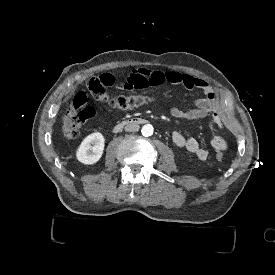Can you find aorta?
I'll return each mask as SVG.
<instances>
[{"mask_svg": "<svg viewBox=\"0 0 275 275\" xmlns=\"http://www.w3.org/2000/svg\"><path fill=\"white\" fill-rule=\"evenodd\" d=\"M153 132H154V128L151 124H145L141 129V133L145 137L153 135Z\"/></svg>", "mask_w": 275, "mask_h": 275, "instance_id": "1", "label": "aorta"}]
</instances>
